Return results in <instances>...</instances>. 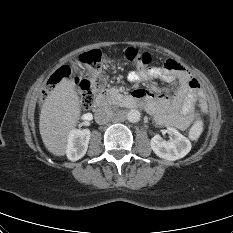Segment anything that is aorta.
Returning <instances> with one entry per match:
<instances>
[{
  "label": "aorta",
  "mask_w": 233,
  "mask_h": 233,
  "mask_svg": "<svg viewBox=\"0 0 233 233\" xmlns=\"http://www.w3.org/2000/svg\"><path fill=\"white\" fill-rule=\"evenodd\" d=\"M126 117L129 122L136 123L140 120L141 114L138 110L131 109L128 111Z\"/></svg>",
  "instance_id": "1"
}]
</instances>
